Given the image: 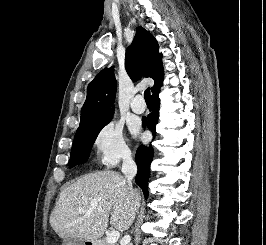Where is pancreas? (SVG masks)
I'll return each instance as SVG.
<instances>
[{
  "label": "pancreas",
  "mask_w": 266,
  "mask_h": 245,
  "mask_svg": "<svg viewBox=\"0 0 266 245\" xmlns=\"http://www.w3.org/2000/svg\"><path fill=\"white\" fill-rule=\"evenodd\" d=\"M98 245H109V243H106V241H100V243H98Z\"/></svg>",
  "instance_id": "1"
}]
</instances>
